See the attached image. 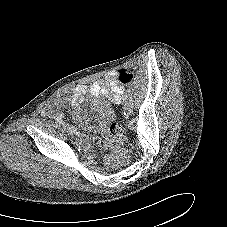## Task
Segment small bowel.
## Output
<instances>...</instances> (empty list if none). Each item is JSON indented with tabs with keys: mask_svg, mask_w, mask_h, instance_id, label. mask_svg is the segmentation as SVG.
<instances>
[{
	"mask_svg": "<svg viewBox=\"0 0 227 227\" xmlns=\"http://www.w3.org/2000/svg\"><path fill=\"white\" fill-rule=\"evenodd\" d=\"M120 71H110L103 79L97 80L89 85H77L69 97H56L49 104L43 108V115L51 117L53 115L60 116L59 109L66 103L70 102L72 106L77 109L86 96H91L98 102L104 98L110 97L114 103H119L126 92L125 87L118 85V73ZM98 111L104 116V110L98 107ZM75 120L79 121V117L75 116ZM80 140L89 143L91 141L87 134L79 135Z\"/></svg>",
	"mask_w": 227,
	"mask_h": 227,
	"instance_id": "c3829d8e",
	"label": "small bowel"
}]
</instances>
